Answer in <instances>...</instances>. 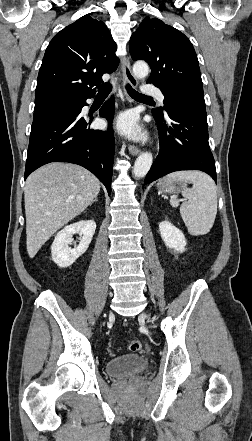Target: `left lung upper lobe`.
I'll list each match as a JSON object with an SVG mask.
<instances>
[{"label":"left lung upper lobe","mask_w":252,"mask_h":441,"mask_svg":"<svg viewBox=\"0 0 252 441\" xmlns=\"http://www.w3.org/2000/svg\"><path fill=\"white\" fill-rule=\"evenodd\" d=\"M129 46L133 60H145L150 65L147 83L162 91L165 111L180 100L205 109L197 55L183 33L157 18L146 17L131 36ZM152 113L164 117L162 108Z\"/></svg>","instance_id":"left-lung-upper-lobe-1"}]
</instances>
